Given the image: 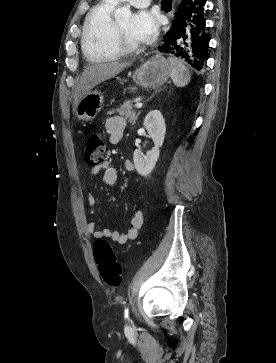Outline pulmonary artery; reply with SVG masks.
Listing matches in <instances>:
<instances>
[{
  "instance_id": "e3ab8cb5",
  "label": "pulmonary artery",
  "mask_w": 276,
  "mask_h": 363,
  "mask_svg": "<svg viewBox=\"0 0 276 363\" xmlns=\"http://www.w3.org/2000/svg\"><path fill=\"white\" fill-rule=\"evenodd\" d=\"M113 1L116 2V3L127 1L132 6L138 7V8L147 7L150 4V2H151V0H113Z\"/></svg>"
}]
</instances>
